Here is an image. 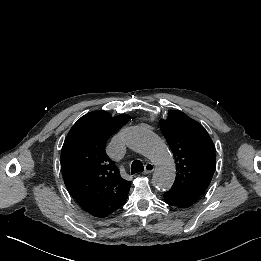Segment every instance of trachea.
<instances>
[{
  "label": "trachea",
  "mask_w": 261,
  "mask_h": 261,
  "mask_svg": "<svg viewBox=\"0 0 261 261\" xmlns=\"http://www.w3.org/2000/svg\"><path fill=\"white\" fill-rule=\"evenodd\" d=\"M144 171L143 163L140 160H134L131 164V174Z\"/></svg>",
  "instance_id": "trachea-1"
}]
</instances>
